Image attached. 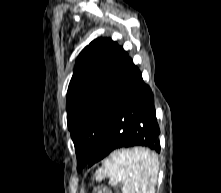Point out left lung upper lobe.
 <instances>
[{
    "mask_svg": "<svg viewBox=\"0 0 221 193\" xmlns=\"http://www.w3.org/2000/svg\"><path fill=\"white\" fill-rule=\"evenodd\" d=\"M132 59L109 38L92 41L80 53L67 92V122L84 167L111 126L113 106Z\"/></svg>",
    "mask_w": 221,
    "mask_h": 193,
    "instance_id": "left-lung-upper-lobe-1",
    "label": "left lung upper lobe"
}]
</instances>
